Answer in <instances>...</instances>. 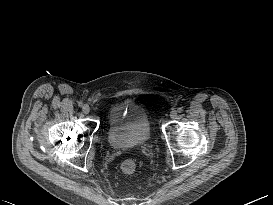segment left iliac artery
I'll return each instance as SVG.
<instances>
[{
    "label": "left iliac artery",
    "instance_id": "obj_1",
    "mask_svg": "<svg viewBox=\"0 0 273 205\" xmlns=\"http://www.w3.org/2000/svg\"><path fill=\"white\" fill-rule=\"evenodd\" d=\"M177 111H178L179 113H181V112L183 111V108H182V107H179V108L177 109Z\"/></svg>",
    "mask_w": 273,
    "mask_h": 205
}]
</instances>
